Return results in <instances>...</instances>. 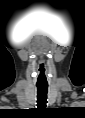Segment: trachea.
<instances>
[{
  "instance_id": "3493384b",
  "label": "trachea",
  "mask_w": 85,
  "mask_h": 118,
  "mask_svg": "<svg viewBox=\"0 0 85 118\" xmlns=\"http://www.w3.org/2000/svg\"><path fill=\"white\" fill-rule=\"evenodd\" d=\"M47 92L46 88H37V105L38 107H45L47 103Z\"/></svg>"
}]
</instances>
